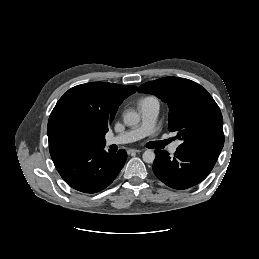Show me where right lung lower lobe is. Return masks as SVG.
<instances>
[{
  "label": "right lung lower lobe",
  "instance_id": "1",
  "mask_svg": "<svg viewBox=\"0 0 259 259\" xmlns=\"http://www.w3.org/2000/svg\"><path fill=\"white\" fill-rule=\"evenodd\" d=\"M103 149L79 150L53 155L51 158L63 180L72 188L84 193H95L113 182L127 158L123 149L117 153Z\"/></svg>",
  "mask_w": 259,
  "mask_h": 259
}]
</instances>
